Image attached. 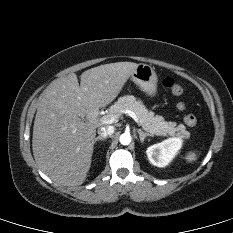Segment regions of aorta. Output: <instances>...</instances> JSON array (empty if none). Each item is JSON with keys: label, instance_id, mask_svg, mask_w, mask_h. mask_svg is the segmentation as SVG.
<instances>
[{"label": "aorta", "instance_id": "aorta-1", "mask_svg": "<svg viewBox=\"0 0 233 233\" xmlns=\"http://www.w3.org/2000/svg\"><path fill=\"white\" fill-rule=\"evenodd\" d=\"M119 140L122 145H129L131 143V136L128 133H124L120 136Z\"/></svg>", "mask_w": 233, "mask_h": 233}]
</instances>
